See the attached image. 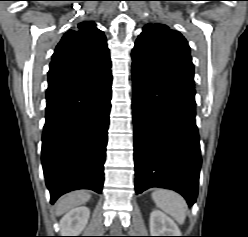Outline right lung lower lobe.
<instances>
[{
	"label": "right lung lower lobe",
	"mask_w": 248,
	"mask_h": 237,
	"mask_svg": "<svg viewBox=\"0 0 248 237\" xmlns=\"http://www.w3.org/2000/svg\"><path fill=\"white\" fill-rule=\"evenodd\" d=\"M112 74L48 86L41 161L51 203L72 190L102 191Z\"/></svg>",
	"instance_id": "obj_1"
}]
</instances>
